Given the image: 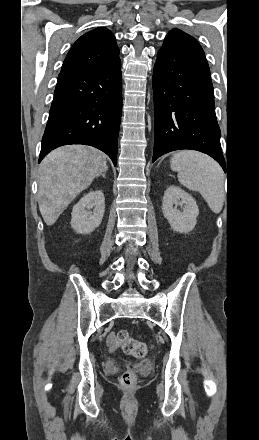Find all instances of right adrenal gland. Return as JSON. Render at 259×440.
<instances>
[{
	"mask_svg": "<svg viewBox=\"0 0 259 440\" xmlns=\"http://www.w3.org/2000/svg\"><path fill=\"white\" fill-rule=\"evenodd\" d=\"M102 177H103V178H106V173H105V172L102 173Z\"/></svg>",
	"mask_w": 259,
	"mask_h": 440,
	"instance_id": "1",
	"label": "right adrenal gland"
}]
</instances>
